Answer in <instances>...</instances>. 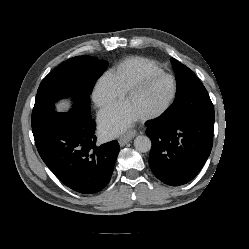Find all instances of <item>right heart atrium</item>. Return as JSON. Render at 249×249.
Instances as JSON below:
<instances>
[{"instance_id":"obj_1","label":"right heart atrium","mask_w":249,"mask_h":249,"mask_svg":"<svg viewBox=\"0 0 249 249\" xmlns=\"http://www.w3.org/2000/svg\"><path fill=\"white\" fill-rule=\"evenodd\" d=\"M123 97V91L116 85L109 73L96 83L93 100L99 108H106Z\"/></svg>"}]
</instances>
